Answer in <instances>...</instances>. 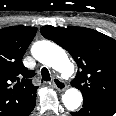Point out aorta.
Segmentation results:
<instances>
[{
    "label": "aorta",
    "mask_w": 116,
    "mask_h": 116,
    "mask_svg": "<svg viewBox=\"0 0 116 116\" xmlns=\"http://www.w3.org/2000/svg\"><path fill=\"white\" fill-rule=\"evenodd\" d=\"M32 56L39 62L63 73L70 65L66 52L50 41H38L31 48ZM82 94L76 88H70L62 95V101L67 110L74 111L82 103Z\"/></svg>",
    "instance_id": "762f6f07"
}]
</instances>
